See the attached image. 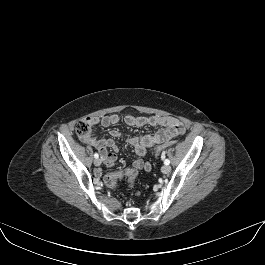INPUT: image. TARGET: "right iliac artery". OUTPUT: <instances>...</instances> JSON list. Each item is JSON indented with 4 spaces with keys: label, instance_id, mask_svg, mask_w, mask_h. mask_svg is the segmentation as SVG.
<instances>
[{
    "label": "right iliac artery",
    "instance_id": "1",
    "mask_svg": "<svg viewBox=\"0 0 265 265\" xmlns=\"http://www.w3.org/2000/svg\"><path fill=\"white\" fill-rule=\"evenodd\" d=\"M98 157H99L98 153H95V154H94V158L97 159Z\"/></svg>",
    "mask_w": 265,
    "mask_h": 265
}]
</instances>
